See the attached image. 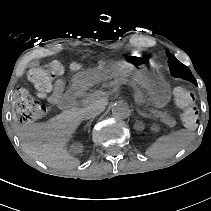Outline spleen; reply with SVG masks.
<instances>
[{
  "mask_svg": "<svg viewBox=\"0 0 211 211\" xmlns=\"http://www.w3.org/2000/svg\"><path fill=\"white\" fill-rule=\"evenodd\" d=\"M194 136L193 132L186 129L161 136L147 148L145 154L153 159L168 158L188 146Z\"/></svg>",
  "mask_w": 211,
  "mask_h": 211,
  "instance_id": "1",
  "label": "spleen"
}]
</instances>
